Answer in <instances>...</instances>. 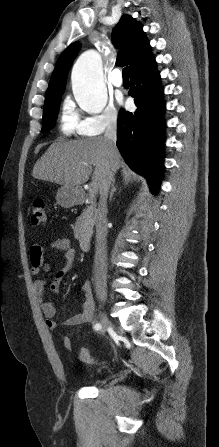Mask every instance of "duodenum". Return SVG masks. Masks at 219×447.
Wrapping results in <instances>:
<instances>
[{
  "label": "duodenum",
  "instance_id": "410a0bca",
  "mask_svg": "<svg viewBox=\"0 0 219 447\" xmlns=\"http://www.w3.org/2000/svg\"><path fill=\"white\" fill-rule=\"evenodd\" d=\"M83 201H84V197L83 196H77V202L78 203H82ZM91 243H92V241L88 237H82L79 240L80 248L84 252H88L90 250Z\"/></svg>",
  "mask_w": 219,
  "mask_h": 447
}]
</instances>
